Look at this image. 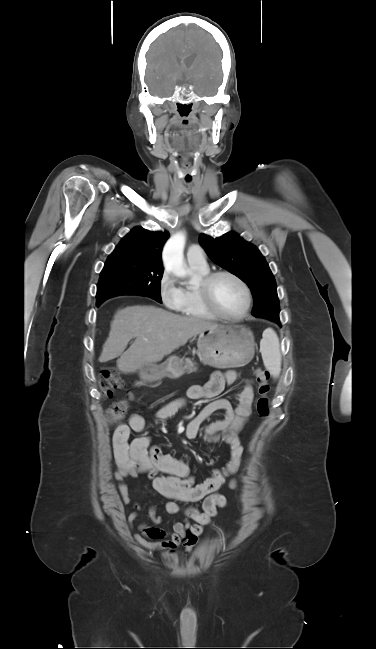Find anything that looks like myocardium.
Segmentation results:
<instances>
[{
  "label": "myocardium",
  "instance_id": "1",
  "mask_svg": "<svg viewBox=\"0 0 376 649\" xmlns=\"http://www.w3.org/2000/svg\"><path fill=\"white\" fill-rule=\"evenodd\" d=\"M221 276H228L234 279L243 289L244 294H245V306L243 310L237 314V315H229L220 310L216 304L214 303L213 297H212V287L215 282V280L218 277ZM198 290H199V295L201 298V301L206 308L207 311H209L211 314H213L216 317H219L224 320L228 321H240L244 319L251 308L252 304V293L249 285L246 283V281L241 278L238 274L230 271V270H218L214 272L207 273L205 276H203L198 284Z\"/></svg>",
  "mask_w": 376,
  "mask_h": 649
}]
</instances>
